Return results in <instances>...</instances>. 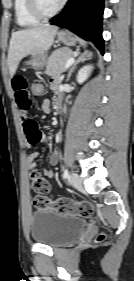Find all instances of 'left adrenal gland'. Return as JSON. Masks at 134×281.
Segmentation results:
<instances>
[{
	"label": "left adrenal gland",
	"instance_id": "a2214340",
	"mask_svg": "<svg viewBox=\"0 0 134 281\" xmlns=\"http://www.w3.org/2000/svg\"><path fill=\"white\" fill-rule=\"evenodd\" d=\"M92 53L89 51H84L82 54H79L78 57L76 58V60L74 61L73 65L71 66L67 79L66 81L70 80L71 74L74 71L75 67L77 66V64H79L80 62H84L87 59L91 58Z\"/></svg>",
	"mask_w": 134,
	"mask_h": 281
}]
</instances>
